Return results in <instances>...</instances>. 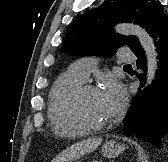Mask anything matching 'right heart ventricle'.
<instances>
[{"instance_id":"obj_1","label":"right heart ventricle","mask_w":168,"mask_h":162,"mask_svg":"<svg viewBox=\"0 0 168 162\" xmlns=\"http://www.w3.org/2000/svg\"><path fill=\"white\" fill-rule=\"evenodd\" d=\"M81 84L83 81L72 73L70 68L59 75L53 83L49 93L48 119L58 136L75 137L85 133L69 118L65 110L68 96Z\"/></svg>"}]
</instances>
